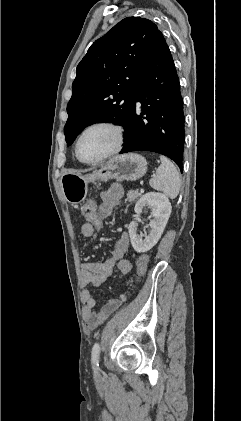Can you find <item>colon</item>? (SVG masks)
Instances as JSON below:
<instances>
[{"label": "colon", "instance_id": "colon-1", "mask_svg": "<svg viewBox=\"0 0 241 421\" xmlns=\"http://www.w3.org/2000/svg\"><path fill=\"white\" fill-rule=\"evenodd\" d=\"M81 212L86 220V223L90 224L93 227L96 234H99L100 231L102 230L103 222L97 213L96 202L94 200H88L82 206ZM148 262H149V257L146 254L142 255L139 258L136 265L138 276L144 275ZM117 269L122 274H129L132 271L133 266L128 260L121 259L117 263Z\"/></svg>", "mask_w": 241, "mask_h": 421}]
</instances>
